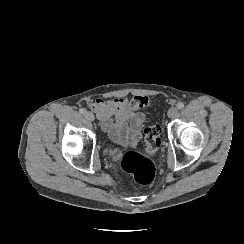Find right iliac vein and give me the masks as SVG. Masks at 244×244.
<instances>
[{
  "mask_svg": "<svg viewBox=\"0 0 244 244\" xmlns=\"http://www.w3.org/2000/svg\"><path fill=\"white\" fill-rule=\"evenodd\" d=\"M84 116H85V118H86L87 120H89V121H94V119H95L93 113H91V112H89V111L85 112V113H84Z\"/></svg>",
  "mask_w": 244,
  "mask_h": 244,
  "instance_id": "right-iliac-vein-1",
  "label": "right iliac vein"
}]
</instances>
